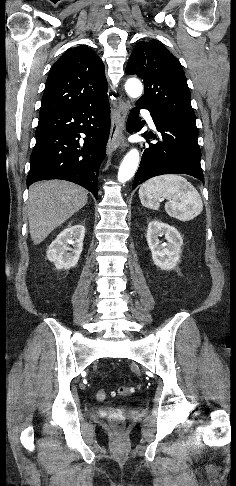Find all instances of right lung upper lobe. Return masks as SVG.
<instances>
[{
    "instance_id": "obj_1",
    "label": "right lung upper lobe",
    "mask_w": 236,
    "mask_h": 486,
    "mask_svg": "<svg viewBox=\"0 0 236 486\" xmlns=\"http://www.w3.org/2000/svg\"><path fill=\"white\" fill-rule=\"evenodd\" d=\"M108 100L102 60L86 45L69 49L51 68L40 116Z\"/></svg>"
}]
</instances>
